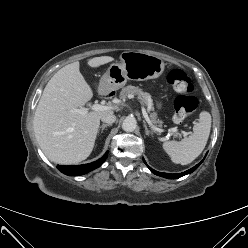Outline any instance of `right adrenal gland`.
Returning a JSON list of instances; mask_svg holds the SVG:
<instances>
[{"label": "right adrenal gland", "instance_id": "right-adrenal-gland-1", "mask_svg": "<svg viewBox=\"0 0 248 248\" xmlns=\"http://www.w3.org/2000/svg\"><path fill=\"white\" fill-rule=\"evenodd\" d=\"M112 124H102L99 129H98V132L101 130V133L103 132V130L108 127V126H111Z\"/></svg>", "mask_w": 248, "mask_h": 248}]
</instances>
